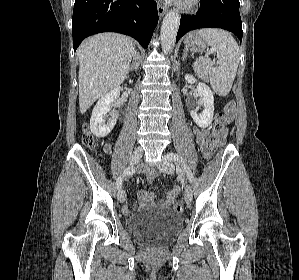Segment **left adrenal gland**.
<instances>
[{"instance_id": "obj_1", "label": "left adrenal gland", "mask_w": 299, "mask_h": 280, "mask_svg": "<svg viewBox=\"0 0 299 280\" xmlns=\"http://www.w3.org/2000/svg\"><path fill=\"white\" fill-rule=\"evenodd\" d=\"M186 57H188V54H187V50L184 49L183 50V57H182V61H185L186 60Z\"/></svg>"}]
</instances>
